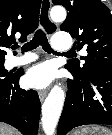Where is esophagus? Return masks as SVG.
Masks as SVG:
<instances>
[{
  "instance_id": "obj_1",
  "label": "esophagus",
  "mask_w": 112,
  "mask_h": 135,
  "mask_svg": "<svg viewBox=\"0 0 112 135\" xmlns=\"http://www.w3.org/2000/svg\"><path fill=\"white\" fill-rule=\"evenodd\" d=\"M43 1H46V5H47V7L44 9H42ZM43 1L40 9V22L42 27L45 28L48 34H50L51 32L56 30L57 25L50 20V16H49V11L51 8V0H43ZM46 95H47L46 90L39 92V99L41 102L44 101Z\"/></svg>"
}]
</instances>
